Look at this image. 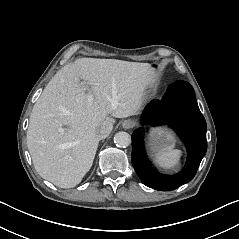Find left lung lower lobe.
Returning a JSON list of instances; mask_svg holds the SVG:
<instances>
[{
    "instance_id": "1",
    "label": "left lung lower lobe",
    "mask_w": 239,
    "mask_h": 239,
    "mask_svg": "<svg viewBox=\"0 0 239 239\" xmlns=\"http://www.w3.org/2000/svg\"><path fill=\"white\" fill-rule=\"evenodd\" d=\"M146 124H169L184 141L188 158L185 167L176 175H163L147 163L140 134H132V164L141 181L160 191H171L192 180L207 150L206 121L201 114L193 87L179 80L171 84L162 100L152 101L144 110Z\"/></svg>"
}]
</instances>
